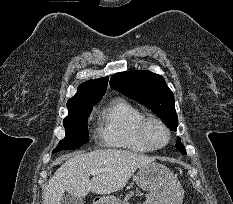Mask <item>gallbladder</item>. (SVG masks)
<instances>
[{"label": "gallbladder", "mask_w": 233, "mask_h": 204, "mask_svg": "<svg viewBox=\"0 0 233 204\" xmlns=\"http://www.w3.org/2000/svg\"><path fill=\"white\" fill-rule=\"evenodd\" d=\"M60 204H84V201L81 197L66 195L62 198Z\"/></svg>", "instance_id": "bac80fb5"}]
</instances>
